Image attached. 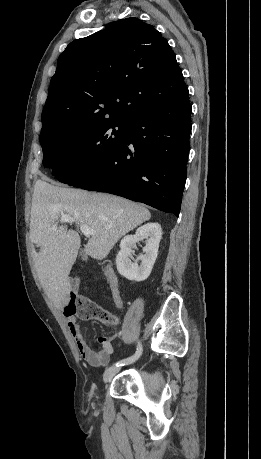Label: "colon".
Returning <instances> with one entry per match:
<instances>
[{
    "label": "colon",
    "mask_w": 261,
    "mask_h": 459,
    "mask_svg": "<svg viewBox=\"0 0 261 459\" xmlns=\"http://www.w3.org/2000/svg\"><path fill=\"white\" fill-rule=\"evenodd\" d=\"M67 317L78 316L81 319H95L104 324L114 326L118 323L115 315L84 295H72L70 302L64 307Z\"/></svg>",
    "instance_id": "5ec220e1"
}]
</instances>
